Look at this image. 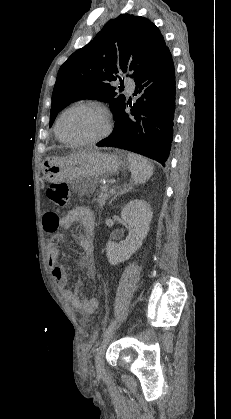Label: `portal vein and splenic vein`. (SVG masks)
I'll return each mask as SVG.
<instances>
[{
    "instance_id": "portal-vein-and-splenic-vein-1",
    "label": "portal vein and splenic vein",
    "mask_w": 231,
    "mask_h": 419,
    "mask_svg": "<svg viewBox=\"0 0 231 419\" xmlns=\"http://www.w3.org/2000/svg\"><path fill=\"white\" fill-rule=\"evenodd\" d=\"M102 190H108V186L103 187Z\"/></svg>"
}]
</instances>
